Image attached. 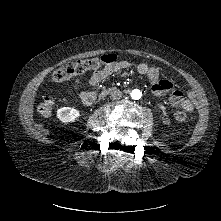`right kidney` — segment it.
I'll use <instances>...</instances> for the list:
<instances>
[{
	"label": "right kidney",
	"instance_id": "ca27d5eb",
	"mask_svg": "<svg viewBox=\"0 0 221 221\" xmlns=\"http://www.w3.org/2000/svg\"><path fill=\"white\" fill-rule=\"evenodd\" d=\"M80 116V112L74 108L64 107L58 110L57 117L63 123L74 122Z\"/></svg>",
	"mask_w": 221,
	"mask_h": 221
}]
</instances>
